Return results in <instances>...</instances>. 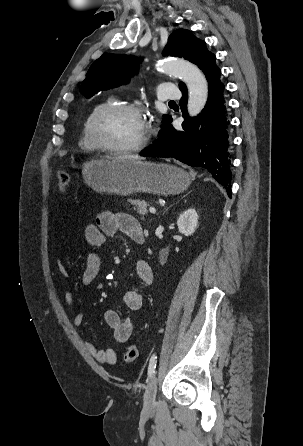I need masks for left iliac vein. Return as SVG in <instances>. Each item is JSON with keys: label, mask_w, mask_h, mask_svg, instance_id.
<instances>
[{"label": "left iliac vein", "mask_w": 303, "mask_h": 446, "mask_svg": "<svg viewBox=\"0 0 303 446\" xmlns=\"http://www.w3.org/2000/svg\"><path fill=\"white\" fill-rule=\"evenodd\" d=\"M156 392H157V377L156 375H153L147 384L146 391L144 394V409L146 411H152L154 409Z\"/></svg>", "instance_id": "4c4485c4"}]
</instances>
